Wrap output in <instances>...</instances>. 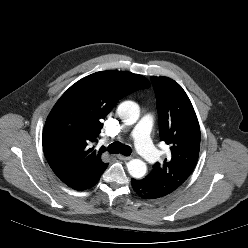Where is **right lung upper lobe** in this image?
<instances>
[{"label": "right lung upper lobe", "instance_id": "obj_1", "mask_svg": "<svg viewBox=\"0 0 248 248\" xmlns=\"http://www.w3.org/2000/svg\"><path fill=\"white\" fill-rule=\"evenodd\" d=\"M150 87L141 75L107 70L86 76L72 85L57 101L43 130L46 159L57 175L72 189L91 188L108 164L102 162L104 147L92 143L116 103L126 95Z\"/></svg>", "mask_w": 248, "mask_h": 248}]
</instances>
